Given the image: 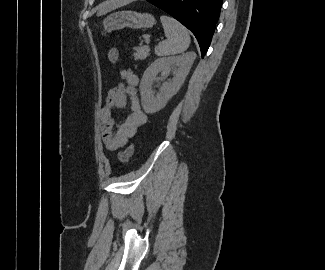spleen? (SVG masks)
<instances>
[{"label":"spleen","instance_id":"spleen-1","mask_svg":"<svg viewBox=\"0 0 325 270\" xmlns=\"http://www.w3.org/2000/svg\"><path fill=\"white\" fill-rule=\"evenodd\" d=\"M160 20L167 39L155 47L156 55L169 56L185 52L190 45L188 30L172 17L163 15Z\"/></svg>","mask_w":325,"mask_h":270}]
</instances>
